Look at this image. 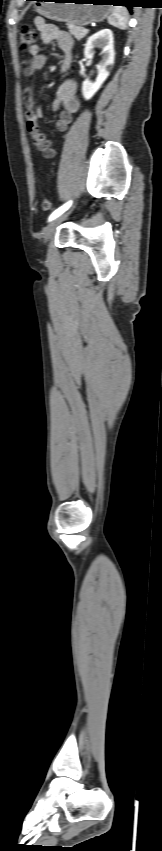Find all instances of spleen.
I'll return each mask as SVG.
<instances>
[{
  "label": "spleen",
  "instance_id": "obj_1",
  "mask_svg": "<svg viewBox=\"0 0 162 851\" xmlns=\"http://www.w3.org/2000/svg\"><path fill=\"white\" fill-rule=\"evenodd\" d=\"M128 21V12L125 7L111 6V14L108 17V23L119 29H126Z\"/></svg>",
  "mask_w": 162,
  "mask_h": 851
}]
</instances>
